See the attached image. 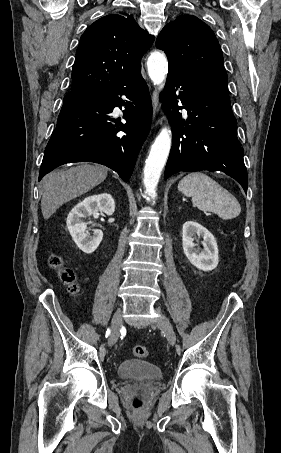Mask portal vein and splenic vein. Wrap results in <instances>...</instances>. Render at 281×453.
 <instances>
[{
    "label": "portal vein and splenic vein",
    "instance_id": "portal-vein-and-splenic-vein-1",
    "mask_svg": "<svg viewBox=\"0 0 281 453\" xmlns=\"http://www.w3.org/2000/svg\"><path fill=\"white\" fill-rule=\"evenodd\" d=\"M201 212L204 213L207 217L211 214L210 212H207V211H204V210H202Z\"/></svg>",
    "mask_w": 281,
    "mask_h": 453
}]
</instances>
